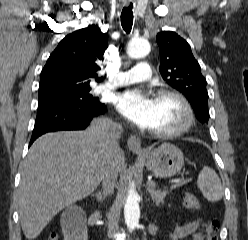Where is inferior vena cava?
I'll use <instances>...</instances> for the list:
<instances>
[{
  "label": "inferior vena cava",
  "instance_id": "1",
  "mask_svg": "<svg viewBox=\"0 0 248 240\" xmlns=\"http://www.w3.org/2000/svg\"><path fill=\"white\" fill-rule=\"evenodd\" d=\"M123 132L120 124L109 122L106 126V144L107 154L104 161V174L102 177V185L104 195L113 193L115 182L118 177V170L114 161L113 152L119 149L118 140Z\"/></svg>",
  "mask_w": 248,
  "mask_h": 240
}]
</instances>
